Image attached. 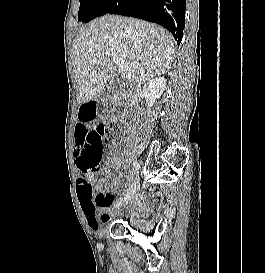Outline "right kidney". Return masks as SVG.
Instances as JSON below:
<instances>
[{
    "instance_id": "obj_1",
    "label": "right kidney",
    "mask_w": 265,
    "mask_h": 273,
    "mask_svg": "<svg viewBox=\"0 0 265 273\" xmlns=\"http://www.w3.org/2000/svg\"><path fill=\"white\" fill-rule=\"evenodd\" d=\"M166 88V79L164 77H158L150 80L143 87V95L148 103V107L151 108L155 101L159 99Z\"/></svg>"
}]
</instances>
